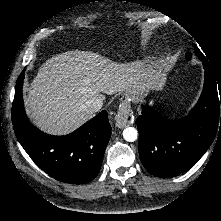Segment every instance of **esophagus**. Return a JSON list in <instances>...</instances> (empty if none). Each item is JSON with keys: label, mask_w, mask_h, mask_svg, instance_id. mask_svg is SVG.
<instances>
[{"label": "esophagus", "mask_w": 221, "mask_h": 221, "mask_svg": "<svg viewBox=\"0 0 221 221\" xmlns=\"http://www.w3.org/2000/svg\"><path fill=\"white\" fill-rule=\"evenodd\" d=\"M118 127L124 126L126 124H133L134 115L133 111L130 109V100L126 97L121 103V108L118 112V116L116 118Z\"/></svg>", "instance_id": "esophagus-1"}]
</instances>
